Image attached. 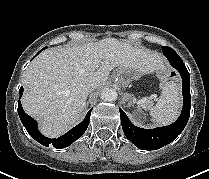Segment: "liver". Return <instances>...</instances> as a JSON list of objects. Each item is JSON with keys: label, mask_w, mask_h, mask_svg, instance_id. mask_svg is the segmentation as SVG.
Listing matches in <instances>:
<instances>
[{"label": "liver", "mask_w": 209, "mask_h": 179, "mask_svg": "<svg viewBox=\"0 0 209 179\" xmlns=\"http://www.w3.org/2000/svg\"><path fill=\"white\" fill-rule=\"evenodd\" d=\"M117 68L141 75L163 68L162 56L115 38L66 45L41 52L23 74L24 111L40 121V131L55 138L79 121L86 105L84 88L105 83Z\"/></svg>", "instance_id": "obj_1"}]
</instances>
